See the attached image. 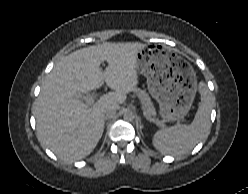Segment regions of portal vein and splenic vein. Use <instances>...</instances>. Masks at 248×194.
Segmentation results:
<instances>
[{"label": "portal vein and splenic vein", "mask_w": 248, "mask_h": 194, "mask_svg": "<svg viewBox=\"0 0 248 194\" xmlns=\"http://www.w3.org/2000/svg\"><path fill=\"white\" fill-rule=\"evenodd\" d=\"M97 97H99L97 94H95V95H93V96L88 95V96H84L83 99L86 101V103H87L88 106H92V105L94 104L95 98H97ZM101 99H103V96L100 98V100H101ZM144 116H145L148 120H150V121H152V122H155V120L149 118L147 115L144 114ZM157 124L160 125V126H164V124L161 123V122H158Z\"/></svg>", "instance_id": "obj_1"}]
</instances>
